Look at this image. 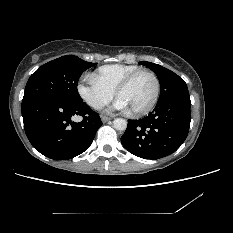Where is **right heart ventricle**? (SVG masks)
<instances>
[{
    "label": "right heart ventricle",
    "instance_id": "e07e8e85",
    "mask_svg": "<svg viewBox=\"0 0 233 233\" xmlns=\"http://www.w3.org/2000/svg\"><path fill=\"white\" fill-rule=\"evenodd\" d=\"M141 69L137 65L111 64L100 67L90 75V79L97 82L111 92L131 73Z\"/></svg>",
    "mask_w": 233,
    "mask_h": 233
}]
</instances>
